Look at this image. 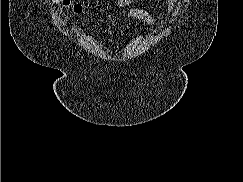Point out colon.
<instances>
[{
    "mask_svg": "<svg viewBox=\"0 0 243 182\" xmlns=\"http://www.w3.org/2000/svg\"><path fill=\"white\" fill-rule=\"evenodd\" d=\"M119 5L121 6H127L129 5L132 0H118ZM63 5L71 7L72 10L74 11L75 14H82L85 12L87 6L84 4L76 3V4H71L70 0H63L62 1Z\"/></svg>",
    "mask_w": 243,
    "mask_h": 182,
    "instance_id": "5ec220e1",
    "label": "colon"
}]
</instances>
